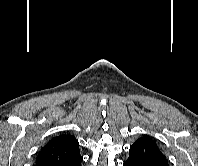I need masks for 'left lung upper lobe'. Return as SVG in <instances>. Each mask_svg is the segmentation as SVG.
I'll use <instances>...</instances> for the list:
<instances>
[{
	"mask_svg": "<svg viewBox=\"0 0 198 166\" xmlns=\"http://www.w3.org/2000/svg\"><path fill=\"white\" fill-rule=\"evenodd\" d=\"M128 158L146 166H168V160L156 141L147 135H143L131 145Z\"/></svg>",
	"mask_w": 198,
	"mask_h": 166,
	"instance_id": "obj_1",
	"label": "left lung upper lobe"
}]
</instances>
